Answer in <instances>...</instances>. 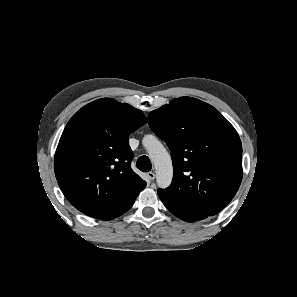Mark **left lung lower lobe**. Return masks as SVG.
<instances>
[{"instance_id": "0a47b994", "label": "left lung lower lobe", "mask_w": 297, "mask_h": 297, "mask_svg": "<svg viewBox=\"0 0 297 297\" xmlns=\"http://www.w3.org/2000/svg\"><path fill=\"white\" fill-rule=\"evenodd\" d=\"M161 201L164 203V205L166 206V208L172 213L174 214L176 217L184 220V221H187V222H195L197 221V219H194V218H191L185 214H183L182 212H180L179 210L175 209L174 207H172L169 202L164 198L162 197L161 195H159Z\"/></svg>"}]
</instances>
